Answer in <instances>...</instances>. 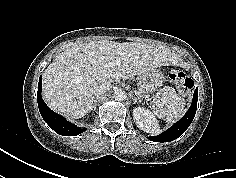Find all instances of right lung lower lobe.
<instances>
[{"instance_id": "right-lung-lower-lobe-1", "label": "right lung lower lobe", "mask_w": 236, "mask_h": 178, "mask_svg": "<svg viewBox=\"0 0 236 178\" xmlns=\"http://www.w3.org/2000/svg\"><path fill=\"white\" fill-rule=\"evenodd\" d=\"M41 90L42 79L40 77L37 92L38 107L41 116L51 129H53L57 134L63 136H75L86 130L85 128L75 126L74 124L68 122L64 117L53 112L43 101L41 97Z\"/></svg>"}]
</instances>
